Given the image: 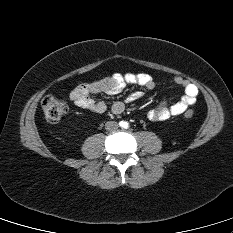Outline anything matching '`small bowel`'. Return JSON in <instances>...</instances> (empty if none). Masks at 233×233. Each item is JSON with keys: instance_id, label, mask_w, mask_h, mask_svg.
I'll return each instance as SVG.
<instances>
[{"instance_id": "obj_1", "label": "small bowel", "mask_w": 233, "mask_h": 233, "mask_svg": "<svg viewBox=\"0 0 233 233\" xmlns=\"http://www.w3.org/2000/svg\"><path fill=\"white\" fill-rule=\"evenodd\" d=\"M176 85L183 88L182 98L171 106H168L165 101L161 102L157 107L150 109L147 112V118L151 121H164L173 116L183 114L190 106L195 104L199 90L198 87L189 80L175 76L173 79ZM126 84H136L146 89L155 87L154 79L146 73H129L121 74L114 73L102 80L83 83L75 87L70 92V100L82 110L103 113L106 110V104L102 101H95L91 98L92 95L105 93L115 95L119 93ZM142 96L141 91H135L128 97L129 102H133ZM125 104L121 101H116L112 105V112L120 114L124 111Z\"/></svg>"}]
</instances>
